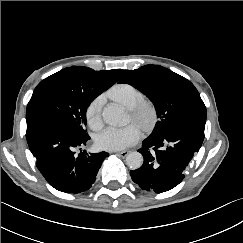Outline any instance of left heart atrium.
I'll return each instance as SVG.
<instances>
[{
    "label": "left heart atrium",
    "instance_id": "obj_1",
    "mask_svg": "<svg viewBox=\"0 0 243 243\" xmlns=\"http://www.w3.org/2000/svg\"><path fill=\"white\" fill-rule=\"evenodd\" d=\"M141 135V129L136 123L124 127H108L98 134L96 144L104 150H122L139 141Z\"/></svg>",
    "mask_w": 243,
    "mask_h": 243
}]
</instances>
